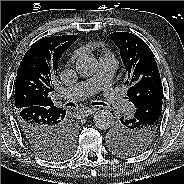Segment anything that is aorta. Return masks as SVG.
Masks as SVG:
<instances>
[{
    "instance_id": "1",
    "label": "aorta",
    "mask_w": 184,
    "mask_h": 184,
    "mask_svg": "<svg viewBox=\"0 0 184 184\" xmlns=\"http://www.w3.org/2000/svg\"><path fill=\"white\" fill-rule=\"evenodd\" d=\"M97 69L98 61L93 56H81L76 61V71L81 77H90L97 71ZM93 122L98 129H109L114 122L113 113L108 109L98 110L94 114Z\"/></svg>"
}]
</instances>
